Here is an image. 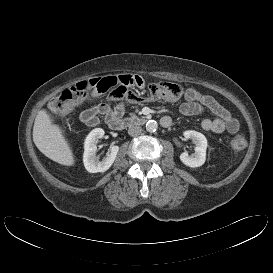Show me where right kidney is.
Segmentation results:
<instances>
[{
  "label": "right kidney",
  "mask_w": 273,
  "mask_h": 273,
  "mask_svg": "<svg viewBox=\"0 0 273 273\" xmlns=\"http://www.w3.org/2000/svg\"><path fill=\"white\" fill-rule=\"evenodd\" d=\"M103 136L104 130L102 128H95L85 139L83 162L86 170L90 173L107 171L114 163L119 151V146H111L107 156L102 161H99V158L96 156L97 143Z\"/></svg>",
  "instance_id": "obj_1"
}]
</instances>
